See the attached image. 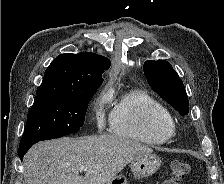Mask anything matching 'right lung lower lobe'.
Instances as JSON below:
<instances>
[{"instance_id":"98d812e1","label":"right lung lower lobe","mask_w":224,"mask_h":184,"mask_svg":"<svg viewBox=\"0 0 224 184\" xmlns=\"http://www.w3.org/2000/svg\"><path fill=\"white\" fill-rule=\"evenodd\" d=\"M30 147L31 146L27 145L19 148V158L21 160H23L24 155L26 154V152L29 150Z\"/></svg>"}]
</instances>
